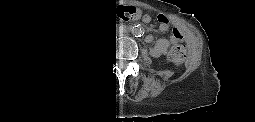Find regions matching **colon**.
Wrapping results in <instances>:
<instances>
[{
  "label": "colon",
  "instance_id": "1",
  "mask_svg": "<svg viewBox=\"0 0 255 122\" xmlns=\"http://www.w3.org/2000/svg\"><path fill=\"white\" fill-rule=\"evenodd\" d=\"M122 16L126 21H132L137 18V11L134 8H125L122 10ZM172 35H174L177 40L172 42L168 52V58L173 62H181L185 55V47L178 39L179 35L176 29H173Z\"/></svg>",
  "mask_w": 255,
  "mask_h": 122
}]
</instances>
